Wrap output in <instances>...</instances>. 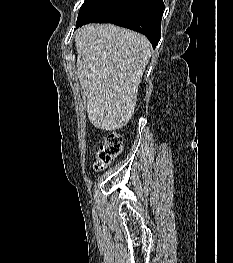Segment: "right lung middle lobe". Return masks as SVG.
<instances>
[{"mask_svg": "<svg viewBox=\"0 0 233 263\" xmlns=\"http://www.w3.org/2000/svg\"><path fill=\"white\" fill-rule=\"evenodd\" d=\"M126 0H85L77 22H101L111 17Z\"/></svg>", "mask_w": 233, "mask_h": 263, "instance_id": "1", "label": "right lung middle lobe"}]
</instances>
